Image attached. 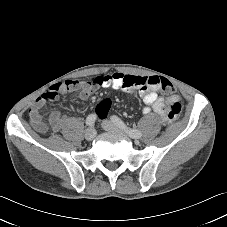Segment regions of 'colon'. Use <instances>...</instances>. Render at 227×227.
<instances>
[{"label":"colon","mask_w":227,"mask_h":227,"mask_svg":"<svg viewBox=\"0 0 227 227\" xmlns=\"http://www.w3.org/2000/svg\"><path fill=\"white\" fill-rule=\"evenodd\" d=\"M152 84L159 85L161 90L166 94L174 93L175 89L173 85L165 78H157L151 81ZM111 107V102L108 99L102 100L97 107V114L99 117H104Z\"/></svg>","instance_id":"colon-1"}]
</instances>
